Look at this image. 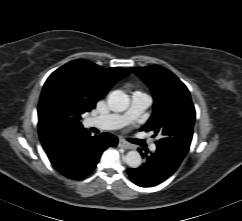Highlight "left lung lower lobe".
Returning <instances> with one entry per match:
<instances>
[{"label":"left lung lower lobe","instance_id":"0a47b994","mask_svg":"<svg viewBox=\"0 0 242 221\" xmlns=\"http://www.w3.org/2000/svg\"><path fill=\"white\" fill-rule=\"evenodd\" d=\"M142 157L145 158V162L138 168L128 169L127 172L136 185L150 187L170 177L177 170L185 155L170 147L157 146L155 153L147 155L146 152L142 154Z\"/></svg>","mask_w":242,"mask_h":221}]
</instances>
